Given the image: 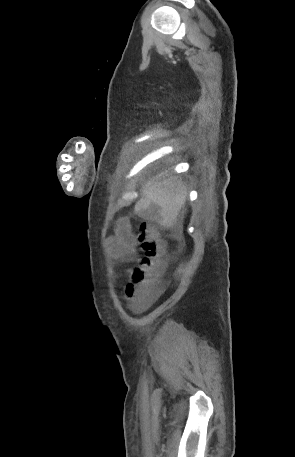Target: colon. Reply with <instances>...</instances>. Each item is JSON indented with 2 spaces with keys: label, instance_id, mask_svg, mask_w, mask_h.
Instances as JSON below:
<instances>
[{
  "label": "colon",
  "instance_id": "obj_1",
  "mask_svg": "<svg viewBox=\"0 0 295 457\" xmlns=\"http://www.w3.org/2000/svg\"><path fill=\"white\" fill-rule=\"evenodd\" d=\"M137 239L142 255L137 266L129 273V283L125 288V298L134 306L142 303L161 273L164 266L166 242L158 230L149 222L140 223Z\"/></svg>",
  "mask_w": 295,
  "mask_h": 457
}]
</instances>
